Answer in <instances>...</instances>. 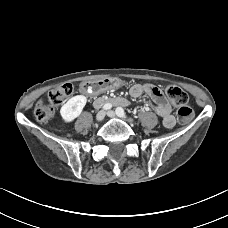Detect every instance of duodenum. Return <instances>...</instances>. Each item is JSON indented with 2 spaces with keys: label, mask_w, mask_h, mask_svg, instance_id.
Returning <instances> with one entry per match:
<instances>
[{
  "label": "duodenum",
  "mask_w": 228,
  "mask_h": 228,
  "mask_svg": "<svg viewBox=\"0 0 228 228\" xmlns=\"http://www.w3.org/2000/svg\"><path fill=\"white\" fill-rule=\"evenodd\" d=\"M106 101H110L112 102L115 106H125L128 104V101L125 98L122 97H117V98H112V99H105V98H98L95 101L96 105H101L102 103L106 102Z\"/></svg>",
  "instance_id": "obj_1"
}]
</instances>
